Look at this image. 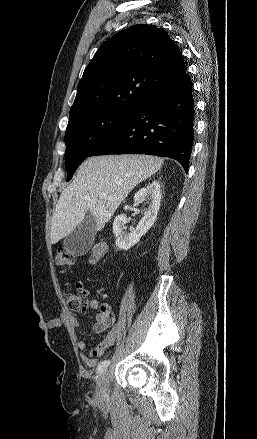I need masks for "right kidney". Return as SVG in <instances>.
Segmentation results:
<instances>
[{"label":"right kidney","instance_id":"obj_1","mask_svg":"<svg viewBox=\"0 0 257 439\" xmlns=\"http://www.w3.org/2000/svg\"><path fill=\"white\" fill-rule=\"evenodd\" d=\"M134 200L137 203L146 200L149 206L148 209L145 210L144 217L140 220L137 227L130 229V233L126 232V216L118 215L114 219L113 233L116 237V246L122 250H128L137 244L141 237L145 235L154 224L161 202L160 183L153 181L146 187L141 188L135 194ZM127 209H129V206H125V210Z\"/></svg>","mask_w":257,"mask_h":439}]
</instances>
